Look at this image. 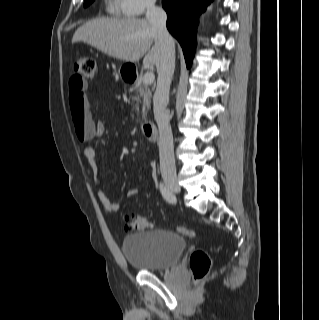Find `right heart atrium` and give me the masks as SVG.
I'll return each mask as SVG.
<instances>
[{
	"label": "right heart atrium",
	"mask_w": 319,
	"mask_h": 320,
	"mask_svg": "<svg viewBox=\"0 0 319 320\" xmlns=\"http://www.w3.org/2000/svg\"><path fill=\"white\" fill-rule=\"evenodd\" d=\"M117 8L126 16H140L151 9L155 0H113Z\"/></svg>",
	"instance_id": "1"
}]
</instances>
